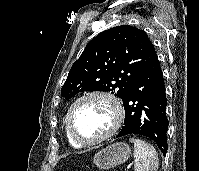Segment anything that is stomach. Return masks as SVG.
I'll list each match as a JSON object with an SVG mask.
<instances>
[{
  "instance_id": "obj_1",
  "label": "stomach",
  "mask_w": 199,
  "mask_h": 171,
  "mask_svg": "<svg viewBox=\"0 0 199 171\" xmlns=\"http://www.w3.org/2000/svg\"><path fill=\"white\" fill-rule=\"evenodd\" d=\"M130 153L128 144L117 142L97 152L94 155L93 162L98 168L107 170L126 162Z\"/></svg>"
}]
</instances>
